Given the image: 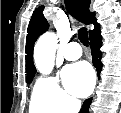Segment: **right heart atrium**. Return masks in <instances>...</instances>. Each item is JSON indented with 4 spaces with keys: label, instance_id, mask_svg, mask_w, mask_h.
<instances>
[{
    "label": "right heart atrium",
    "instance_id": "1",
    "mask_svg": "<svg viewBox=\"0 0 121 113\" xmlns=\"http://www.w3.org/2000/svg\"><path fill=\"white\" fill-rule=\"evenodd\" d=\"M38 101L48 113H70L78 109V102L70 97L54 76L41 77L35 86Z\"/></svg>",
    "mask_w": 121,
    "mask_h": 113
}]
</instances>
